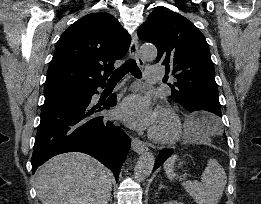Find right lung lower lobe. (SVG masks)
<instances>
[{
  "instance_id": "1",
  "label": "right lung lower lobe",
  "mask_w": 261,
  "mask_h": 204,
  "mask_svg": "<svg viewBox=\"0 0 261 204\" xmlns=\"http://www.w3.org/2000/svg\"><path fill=\"white\" fill-rule=\"evenodd\" d=\"M104 85L45 100L31 159L33 173L51 157L77 151L99 160L118 180L131 142L121 128L98 114L116 105L115 95L103 107L93 103L92 96Z\"/></svg>"
}]
</instances>
